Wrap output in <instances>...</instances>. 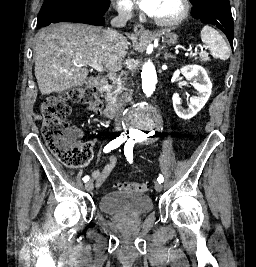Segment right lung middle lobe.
Returning a JSON list of instances; mask_svg holds the SVG:
<instances>
[{
    "label": "right lung middle lobe",
    "mask_w": 256,
    "mask_h": 267,
    "mask_svg": "<svg viewBox=\"0 0 256 267\" xmlns=\"http://www.w3.org/2000/svg\"><path fill=\"white\" fill-rule=\"evenodd\" d=\"M109 5L110 0H45L38 20L55 12L77 15L87 9L107 10Z\"/></svg>",
    "instance_id": "right-lung-middle-lobe-1"
}]
</instances>
